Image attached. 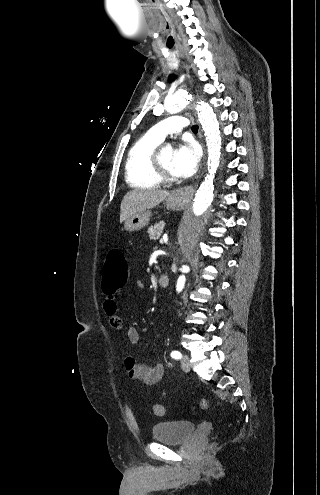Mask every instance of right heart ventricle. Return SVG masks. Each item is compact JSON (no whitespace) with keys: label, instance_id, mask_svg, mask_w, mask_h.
<instances>
[{"label":"right heart ventricle","instance_id":"right-heart-ventricle-1","mask_svg":"<svg viewBox=\"0 0 320 495\" xmlns=\"http://www.w3.org/2000/svg\"><path fill=\"white\" fill-rule=\"evenodd\" d=\"M160 143L148 132L129 148L125 161V179L131 187L153 189L160 185L161 180L152 165V154Z\"/></svg>","mask_w":320,"mask_h":495}]
</instances>
